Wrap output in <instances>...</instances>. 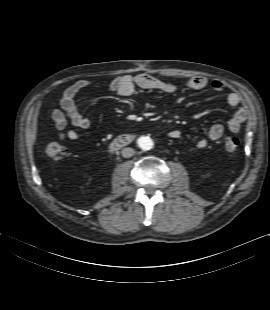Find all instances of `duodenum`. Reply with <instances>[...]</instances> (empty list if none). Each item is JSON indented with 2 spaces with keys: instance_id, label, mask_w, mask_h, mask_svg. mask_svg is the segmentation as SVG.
I'll use <instances>...</instances> for the list:
<instances>
[{
  "instance_id": "1",
  "label": "duodenum",
  "mask_w": 270,
  "mask_h": 310,
  "mask_svg": "<svg viewBox=\"0 0 270 310\" xmlns=\"http://www.w3.org/2000/svg\"><path fill=\"white\" fill-rule=\"evenodd\" d=\"M133 137L131 135H120L114 138L110 143V149L117 150L131 143Z\"/></svg>"
}]
</instances>
